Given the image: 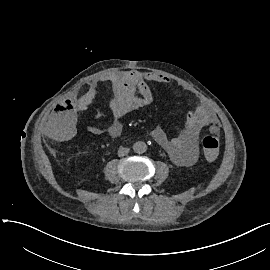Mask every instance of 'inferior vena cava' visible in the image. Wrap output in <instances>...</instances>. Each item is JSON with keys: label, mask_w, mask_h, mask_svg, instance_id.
<instances>
[{"label": "inferior vena cava", "mask_w": 270, "mask_h": 270, "mask_svg": "<svg viewBox=\"0 0 270 270\" xmlns=\"http://www.w3.org/2000/svg\"><path fill=\"white\" fill-rule=\"evenodd\" d=\"M129 153V148L126 147H120L118 150V156L123 157Z\"/></svg>", "instance_id": "602c4592"}]
</instances>
